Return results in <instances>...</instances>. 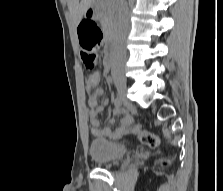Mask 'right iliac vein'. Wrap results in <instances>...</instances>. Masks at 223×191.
<instances>
[{
	"instance_id": "1",
	"label": "right iliac vein",
	"mask_w": 223,
	"mask_h": 191,
	"mask_svg": "<svg viewBox=\"0 0 223 191\" xmlns=\"http://www.w3.org/2000/svg\"><path fill=\"white\" fill-rule=\"evenodd\" d=\"M115 86L118 92L119 97L126 101L127 94V83L125 79L115 80Z\"/></svg>"
}]
</instances>
